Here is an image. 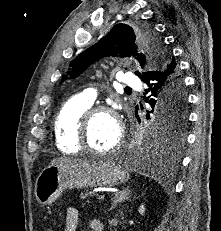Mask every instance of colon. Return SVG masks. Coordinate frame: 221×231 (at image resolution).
I'll list each match as a JSON object with an SVG mask.
<instances>
[{"label": "colon", "mask_w": 221, "mask_h": 231, "mask_svg": "<svg viewBox=\"0 0 221 231\" xmlns=\"http://www.w3.org/2000/svg\"><path fill=\"white\" fill-rule=\"evenodd\" d=\"M47 231H54L52 228H49Z\"/></svg>", "instance_id": "1"}]
</instances>
